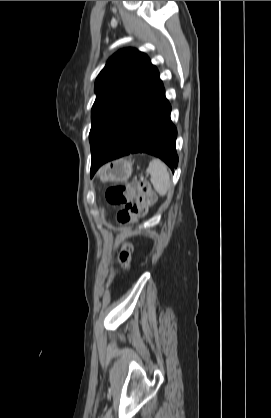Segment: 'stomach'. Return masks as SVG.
<instances>
[{
	"label": "stomach",
	"mask_w": 271,
	"mask_h": 418,
	"mask_svg": "<svg viewBox=\"0 0 271 418\" xmlns=\"http://www.w3.org/2000/svg\"><path fill=\"white\" fill-rule=\"evenodd\" d=\"M132 163L119 159L104 165L98 172L102 182H125L132 174Z\"/></svg>",
	"instance_id": "obj_1"
}]
</instances>
